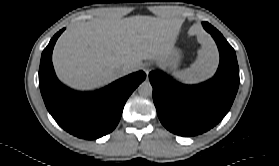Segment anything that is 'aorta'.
I'll use <instances>...</instances> for the list:
<instances>
[{"label":"aorta","mask_w":279,"mask_h":166,"mask_svg":"<svg viewBox=\"0 0 279 166\" xmlns=\"http://www.w3.org/2000/svg\"><path fill=\"white\" fill-rule=\"evenodd\" d=\"M153 88L149 81L142 82L138 87V93L141 96H150L152 94Z\"/></svg>","instance_id":"aorta-1"}]
</instances>
